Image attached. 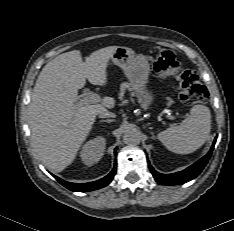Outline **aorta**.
<instances>
[{"label":"aorta","instance_id":"762f6f07","mask_svg":"<svg viewBox=\"0 0 234 231\" xmlns=\"http://www.w3.org/2000/svg\"><path fill=\"white\" fill-rule=\"evenodd\" d=\"M123 141L127 145H138L141 141V132L136 128H127L123 135Z\"/></svg>","mask_w":234,"mask_h":231}]
</instances>
